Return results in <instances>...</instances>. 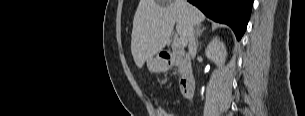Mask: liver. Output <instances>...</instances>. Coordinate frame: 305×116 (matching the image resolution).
Masks as SVG:
<instances>
[{
  "label": "liver",
  "instance_id": "6515ba94",
  "mask_svg": "<svg viewBox=\"0 0 305 116\" xmlns=\"http://www.w3.org/2000/svg\"><path fill=\"white\" fill-rule=\"evenodd\" d=\"M204 20V14L186 0H140L131 34V52L137 67L142 68L147 59L166 46L175 23L184 48L190 28L200 26Z\"/></svg>",
  "mask_w": 305,
  "mask_h": 116
}]
</instances>
